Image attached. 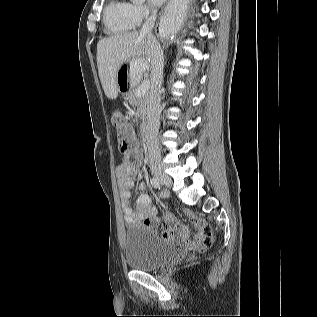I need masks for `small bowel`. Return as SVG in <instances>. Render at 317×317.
<instances>
[{"mask_svg":"<svg viewBox=\"0 0 317 317\" xmlns=\"http://www.w3.org/2000/svg\"><path fill=\"white\" fill-rule=\"evenodd\" d=\"M118 184L121 194V203L124 213V219L128 225L143 223L149 228H154L158 223L155 211L152 208L151 198L143 193L146 189V184L139 185V192H133L135 175L130 172L126 164H121L118 169ZM132 173V174H130ZM163 195V194H162ZM134 199L135 208L131 205V200ZM187 216L192 221L197 233L194 240L200 239L203 235L209 232L208 224L202 219L198 218L192 212H187ZM166 227L162 232L164 239H174L180 237L187 240L189 238L188 230L185 226L180 225L175 216L169 213L164 214Z\"/></svg>","mask_w":317,"mask_h":317,"instance_id":"c3829d8e","label":"small bowel"}]
</instances>
